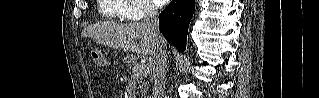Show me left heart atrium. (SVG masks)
<instances>
[{"label": "left heart atrium", "instance_id": "left-heart-atrium-1", "mask_svg": "<svg viewBox=\"0 0 319 98\" xmlns=\"http://www.w3.org/2000/svg\"><path fill=\"white\" fill-rule=\"evenodd\" d=\"M156 3H158L160 6L167 3V0H156Z\"/></svg>", "mask_w": 319, "mask_h": 98}]
</instances>
